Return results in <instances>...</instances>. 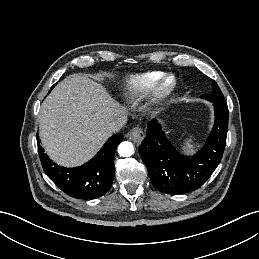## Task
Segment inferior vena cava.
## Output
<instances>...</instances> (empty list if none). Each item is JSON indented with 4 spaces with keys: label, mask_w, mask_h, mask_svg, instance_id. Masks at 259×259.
I'll return each instance as SVG.
<instances>
[{
    "label": "inferior vena cava",
    "mask_w": 259,
    "mask_h": 259,
    "mask_svg": "<svg viewBox=\"0 0 259 259\" xmlns=\"http://www.w3.org/2000/svg\"><path fill=\"white\" fill-rule=\"evenodd\" d=\"M125 122L124 117H118L109 123L108 129L110 132H118L124 126Z\"/></svg>",
    "instance_id": "obj_1"
}]
</instances>
